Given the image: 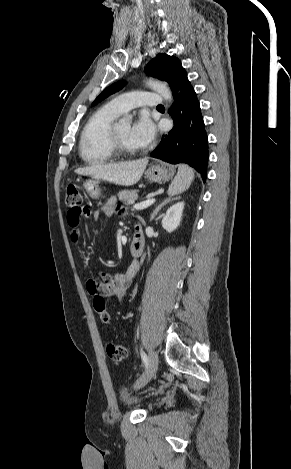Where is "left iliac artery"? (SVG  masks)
<instances>
[{
  "mask_svg": "<svg viewBox=\"0 0 291 469\" xmlns=\"http://www.w3.org/2000/svg\"><path fill=\"white\" fill-rule=\"evenodd\" d=\"M141 358L145 366L148 364V357L143 350H141Z\"/></svg>",
  "mask_w": 291,
  "mask_h": 469,
  "instance_id": "left-iliac-artery-1",
  "label": "left iliac artery"
}]
</instances>
